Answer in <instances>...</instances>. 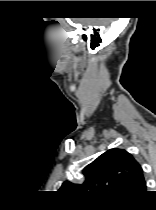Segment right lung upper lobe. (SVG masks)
<instances>
[{"mask_svg": "<svg viewBox=\"0 0 156 210\" xmlns=\"http://www.w3.org/2000/svg\"><path fill=\"white\" fill-rule=\"evenodd\" d=\"M81 183L65 181L60 191L84 200L130 202L146 191L143 170L124 149H110L83 169Z\"/></svg>", "mask_w": 156, "mask_h": 210, "instance_id": "obj_1", "label": "right lung upper lobe"}]
</instances>
